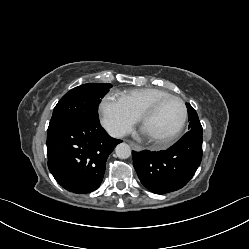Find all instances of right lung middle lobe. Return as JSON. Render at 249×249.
I'll return each mask as SVG.
<instances>
[{"label":"right lung middle lobe","instance_id":"right-lung-middle-lobe-1","mask_svg":"<svg viewBox=\"0 0 249 249\" xmlns=\"http://www.w3.org/2000/svg\"><path fill=\"white\" fill-rule=\"evenodd\" d=\"M111 87V84H84L67 92L53 110L48 133L78 122L98 123V105Z\"/></svg>","mask_w":249,"mask_h":249}]
</instances>
